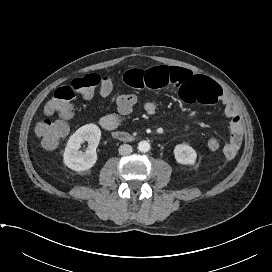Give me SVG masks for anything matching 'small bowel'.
<instances>
[{
  "instance_id": "1",
  "label": "small bowel",
  "mask_w": 272,
  "mask_h": 272,
  "mask_svg": "<svg viewBox=\"0 0 272 272\" xmlns=\"http://www.w3.org/2000/svg\"><path fill=\"white\" fill-rule=\"evenodd\" d=\"M124 81L134 89L156 90L175 87L179 91L180 98L187 103L221 104L226 117L230 120V138L223 146V154L229 160L236 157L243 139V121L235 104L216 82L193 74L187 69L167 65L149 69H131L124 74ZM143 110L145 114L153 115L156 105L146 101ZM122 115L126 114L118 110L107 113L100 118L99 123L106 130H115L120 124Z\"/></svg>"
}]
</instances>
